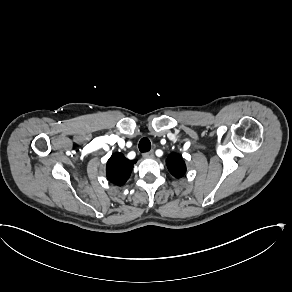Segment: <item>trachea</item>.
I'll use <instances>...</instances> for the list:
<instances>
[{"label": "trachea", "instance_id": "trachea-1", "mask_svg": "<svg viewBox=\"0 0 292 292\" xmlns=\"http://www.w3.org/2000/svg\"><path fill=\"white\" fill-rule=\"evenodd\" d=\"M151 149V142L147 137H143L139 142V150L140 152H148Z\"/></svg>", "mask_w": 292, "mask_h": 292}]
</instances>
